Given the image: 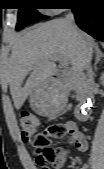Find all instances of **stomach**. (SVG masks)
<instances>
[{
	"instance_id": "stomach-1",
	"label": "stomach",
	"mask_w": 104,
	"mask_h": 169,
	"mask_svg": "<svg viewBox=\"0 0 104 169\" xmlns=\"http://www.w3.org/2000/svg\"><path fill=\"white\" fill-rule=\"evenodd\" d=\"M32 109L44 116H51L58 113L65 104L59 89L48 81L40 85L30 96L29 99Z\"/></svg>"
}]
</instances>
